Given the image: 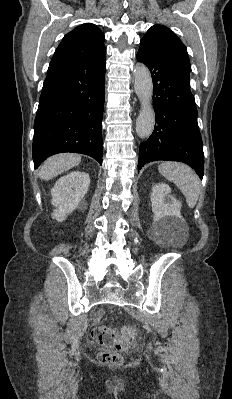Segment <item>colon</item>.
<instances>
[{
    "instance_id": "obj_1",
    "label": "colon",
    "mask_w": 232,
    "mask_h": 399,
    "mask_svg": "<svg viewBox=\"0 0 232 399\" xmlns=\"http://www.w3.org/2000/svg\"><path fill=\"white\" fill-rule=\"evenodd\" d=\"M134 326H96L92 330V341L99 347L100 358L103 365H123V358H115V353H129L130 347L127 341H133Z\"/></svg>"
}]
</instances>
